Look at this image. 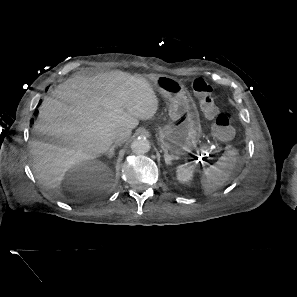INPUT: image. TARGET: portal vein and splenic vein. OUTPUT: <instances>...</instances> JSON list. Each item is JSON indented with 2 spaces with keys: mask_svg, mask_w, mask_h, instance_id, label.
<instances>
[{
  "mask_svg": "<svg viewBox=\"0 0 297 297\" xmlns=\"http://www.w3.org/2000/svg\"><path fill=\"white\" fill-rule=\"evenodd\" d=\"M199 152H205V151H201V150H199Z\"/></svg>",
  "mask_w": 297,
  "mask_h": 297,
  "instance_id": "1",
  "label": "portal vein and splenic vein"
}]
</instances>
